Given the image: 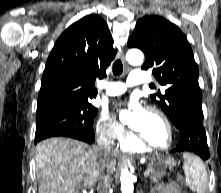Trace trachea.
<instances>
[{
  "mask_svg": "<svg viewBox=\"0 0 221 193\" xmlns=\"http://www.w3.org/2000/svg\"><path fill=\"white\" fill-rule=\"evenodd\" d=\"M123 72V65L122 62L118 59L113 64V74L115 76L122 74Z\"/></svg>",
  "mask_w": 221,
  "mask_h": 193,
  "instance_id": "obj_1",
  "label": "trachea"
}]
</instances>
